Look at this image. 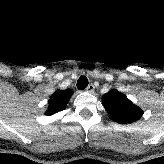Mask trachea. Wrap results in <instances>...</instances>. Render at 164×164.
<instances>
[{
	"label": "trachea",
	"instance_id": "1",
	"mask_svg": "<svg viewBox=\"0 0 164 164\" xmlns=\"http://www.w3.org/2000/svg\"><path fill=\"white\" fill-rule=\"evenodd\" d=\"M88 86V79L85 76H81L77 81L78 89H85Z\"/></svg>",
	"mask_w": 164,
	"mask_h": 164
}]
</instances>
